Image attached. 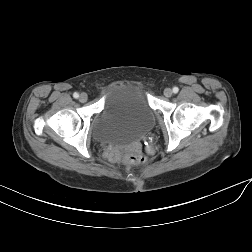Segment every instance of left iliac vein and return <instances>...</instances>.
<instances>
[{
	"instance_id": "obj_1",
	"label": "left iliac vein",
	"mask_w": 252,
	"mask_h": 252,
	"mask_svg": "<svg viewBox=\"0 0 252 252\" xmlns=\"http://www.w3.org/2000/svg\"><path fill=\"white\" fill-rule=\"evenodd\" d=\"M164 95L166 96V97H171L172 96V94H173V91H172V89H170V88H166V89H164Z\"/></svg>"
}]
</instances>
